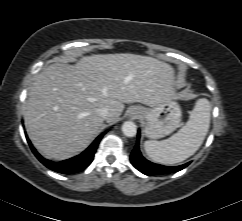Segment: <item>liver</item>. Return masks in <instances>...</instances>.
<instances>
[{
  "instance_id": "1",
  "label": "liver",
  "mask_w": 242,
  "mask_h": 221,
  "mask_svg": "<svg viewBox=\"0 0 242 221\" xmlns=\"http://www.w3.org/2000/svg\"><path fill=\"white\" fill-rule=\"evenodd\" d=\"M174 68L130 53L82 56L75 65L53 63L37 75L24 106L29 139L45 157L65 160L81 153L124 103L150 107L177 98Z\"/></svg>"
}]
</instances>
